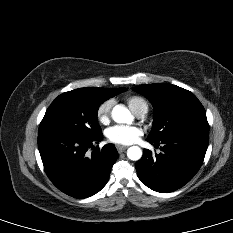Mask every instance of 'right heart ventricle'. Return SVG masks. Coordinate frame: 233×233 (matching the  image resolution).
I'll list each match as a JSON object with an SVG mask.
<instances>
[{
  "label": "right heart ventricle",
  "mask_w": 233,
  "mask_h": 233,
  "mask_svg": "<svg viewBox=\"0 0 233 233\" xmlns=\"http://www.w3.org/2000/svg\"><path fill=\"white\" fill-rule=\"evenodd\" d=\"M127 103L130 107V109L135 113L136 111H138L141 108H146L148 109V104L147 102L139 96H130L127 99Z\"/></svg>",
  "instance_id": "obj_1"
}]
</instances>
